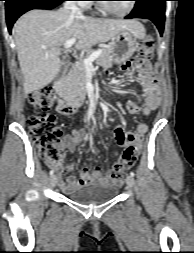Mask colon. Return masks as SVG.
Instances as JSON below:
<instances>
[{"instance_id":"obj_1","label":"colon","mask_w":194,"mask_h":253,"mask_svg":"<svg viewBox=\"0 0 194 253\" xmlns=\"http://www.w3.org/2000/svg\"><path fill=\"white\" fill-rule=\"evenodd\" d=\"M139 56L143 59L151 57L153 53V38L144 37L138 48ZM28 102L37 110L43 111L40 115H32L27 120L28 128L34 138L40 155L47 161L58 165L63 158V133L59 127L57 117L47 111L54 103V94L51 87H42L28 95ZM138 150L127 148L120 161L112 169V176L120 179L125 170L131 168L138 157Z\"/></svg>"}]
</instances>
